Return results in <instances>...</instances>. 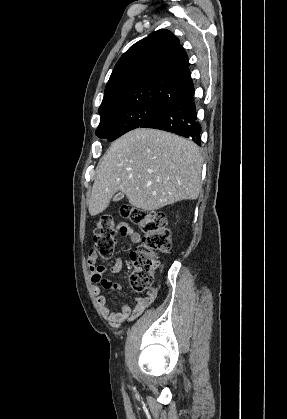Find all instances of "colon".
I'll return each mask as SVG.
<instances>
[{
    "label": "colon",
    "instance_id": "1",
    "mask_svg": "<svg viewBox=\"0 0 287 419\" xmlns=\"http://www.w3.org/2000/svg\"><path fill=\"white\" fill-rule=\"evenodd\" d=\"M122 215L143 233L141 246L130 253L133 267L131 285L134 291L141 293L152 285L153 274L159 264L157 253L168 251L171 247L170 231L163 212L124 207ZM117 232L113 215H102L94 229V253L101 258H110L115 251Z\"/></svg>",
    "mask_w": 287,
    "mask_h": 419
}]
</instances>
